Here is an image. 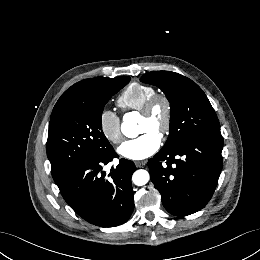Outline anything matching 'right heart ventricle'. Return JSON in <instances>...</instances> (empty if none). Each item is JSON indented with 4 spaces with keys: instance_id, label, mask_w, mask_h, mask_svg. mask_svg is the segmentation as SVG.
Returning a JSON list of instances; mask_svg holds the SVG:
<instances>
[{
    "instance_id": "e07e8e85",
    "label": "right heart ventricle",
    "mask_w": 260,
    "mask_h": 260,
    "mask_svg": "<svg viewBox=\"0 0 260 260\" xmlns=\"http://www.w3.org/2000/svg\"><path fill=\"white\" fill-rule=\"evenodd\" d=\"M155 92V89L150 85L133 82L122 91L117 103L123 112L139 111L145 101Z\"/></svg>"
}]
</instances>
